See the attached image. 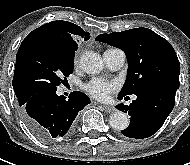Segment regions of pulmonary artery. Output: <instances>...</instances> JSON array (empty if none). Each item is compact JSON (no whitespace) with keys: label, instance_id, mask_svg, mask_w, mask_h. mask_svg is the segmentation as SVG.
Returning a JSON list of instances; mask_svg holds the SVG:
<instances>
[{"label":"pulmonary artery","instance_id":"e3ab8cb5","mask_svg":"<svg viewBox=\"0 0 190 165\" xmlns=\"http://www.w3.org/2000/svg\"><path fill=\"white\" fill-rule=\"evenodd\" d=\"M106 66L111 70L120 69L126 60L125 52L121 49L111 48L107 49L103 54Z\"/></svg>","mask_w":190,"mask_h":165}]
</instances>
